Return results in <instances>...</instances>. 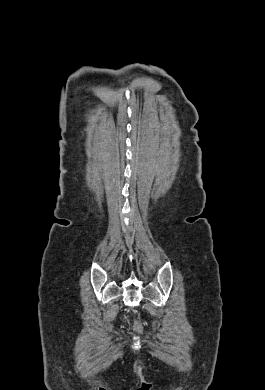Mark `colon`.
Segmentation results:
<instances>
[{"mask_svg": "<svg viewBox=\"0 0 265 390\" xmlns=\"http://www.w3.org/2000/svg\"><path fill=\"white\" fill-rule=\"evenodd\" d=\"M134 331L137 333H140L142 331V326L140 325V323H138V322L135 323Z\"/></svg>", "mask_w": 265, "mask_h": 390, "instance_id": "colon-1", "label": "colon"}]
</instances>
